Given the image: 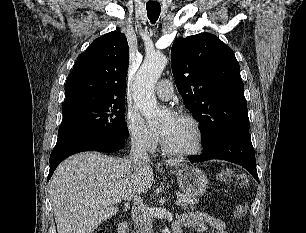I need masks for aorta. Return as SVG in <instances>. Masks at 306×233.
I'll return each instance as SVG.
<instances>
[{
	"label": "aorta",
	"mask_w": 306,
	"mask_h": 233,
	"mask_svg": "<svg viewBox=\"0 0 306 233\" xmlns=\"http://www.w3.org/2000/svg\"><path fill=\"white\" fill-rule=\"evenodd\" d=\"M167 58L161 53L147 56L139 68L133 85V99L137 109L147 119L150 127L158 126L165 117L158 105L154 95V87L159 80ZM162 233H171L165 227Z\"/></svg>",
	"instance_id": "aorta-1"
}]
</instances>
